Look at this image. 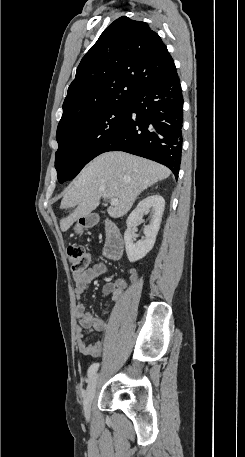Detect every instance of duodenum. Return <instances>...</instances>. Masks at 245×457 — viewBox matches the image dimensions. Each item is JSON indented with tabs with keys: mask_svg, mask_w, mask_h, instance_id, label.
<instances>
[{
	"mask_svg": "<svg viewBox=\"0 0 245 457\" xmlns=\"http://www.w3.org/2000/svg\"><path fill=\"white\" fill-rule=\"evenodd\" d=\"M95 223V219L93 217H89L86 219V224L93 225ZM106 229V247L105 253L106 256L110 259H118L123 251V240L120 234L119 229L117 226L111 222L107 221L105 224Z\"/></svg>",
	"mask_w": 245,
	"mask_h": 457,
	"instance_id": "obj_1",
	"label": "duodenum"
}]
</instances>
